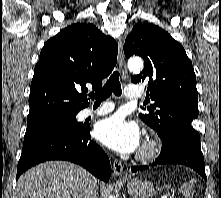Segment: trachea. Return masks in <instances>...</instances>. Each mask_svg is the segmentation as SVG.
Wrapping results in <instances>:
<instances>
[{
  "label": "trachea",
  "instance_id": "trachea-1",
  "mask_svg": "<svg viewBox=\"0 0 221 198\" xmlns=\"http://www.w3.org/2000/svg\"><path fill=\"white\" fill-rule=\"evenodd\" d=\"M112 93H114L116 96H120L122 94L118 71L113 72V74L110 76L109 80L101 90H99L95 94H89V97L96 100L95 104H100L103 100L110 97Z\"/></svg>",
  "mask_w": 221,
  "mask_h": 198
}]
</instances>
